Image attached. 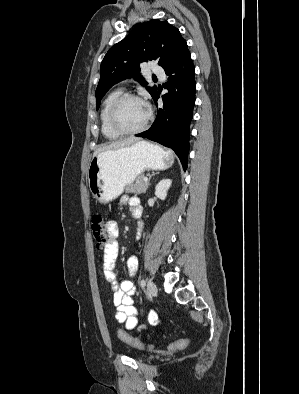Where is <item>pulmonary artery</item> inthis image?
Returning a JSON list of instances; mask_svg holds the SVG:
<instances>
[{
  "label": "pulmonary artery",
  "mask_w": 299,
  "mask_h": 394,
  "mask_svg": "<svg viewBox=\"0 0 299 394\" xmlns=\"http://www.w3.org/2000/svg\"><path fill=\"white\" fill-rule=\"evenodd\" d=\"M154 73H155V75H156L157 77H159L161 80H163L164 77H165V72H164V70L161 69V68H156V69L154 70Z\"/></svg>",
  "instance_id": "pulmonary-artery-1"
}]
</instances>
